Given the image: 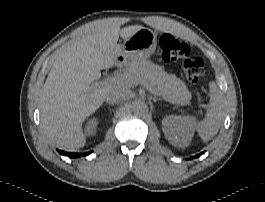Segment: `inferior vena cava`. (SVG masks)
<instances>
[{
  "label": "inferior vena cava",
  "instance_id": "obj_1",
  "mask_svg": "<svg viewBox=\"0 0 265 202\" xmlns=\"http://www.w3.org/2000/svg\"><path fill=\"white\" fill-rule=\"evenodd\" d=\"M130 91L120 86L111 87L105 96V101L112 104H117L129 97Z\"/></svg>",
  "mask_w": 265,
  "mask_h": 202
}]
</instances>
